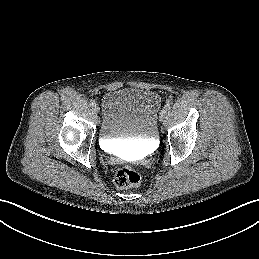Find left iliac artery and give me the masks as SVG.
<instances>
[{
    "instance_id": "left-iliac-artery-1",
    "label": "left iliac artery",
    "mask_w": 259,
    "mask_h": 259,
    "mask_svg": "<svg viewBox=\"0 0 259 259\" xmlns=\"http://www.w3.org/2000/svg\"><path fill=\"white\" fill-rule=\"evenodd\" d=\"M171 106V103L169 101L166 102L164 109L169 110Z\"/></svg>"
}]
</instances>
